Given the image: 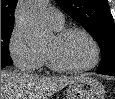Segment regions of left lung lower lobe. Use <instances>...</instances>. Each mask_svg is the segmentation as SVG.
<instances>
[{"label": "left lung lower lobe", "mask_w": 115, "mask_h": 99, "mask_svg": "<svg viewBox=\"0 0 115 99\" xmlns=\"http://www.w3.org/2000/svg\"><path fill=\"white\" fill-rule=\"evenodd\" d=\"M99 74H101V73H99ZM104 75H111V76H115V72L104 73Z\"/></svg>", "instance_id": "0a47b994"}]
</instances>
